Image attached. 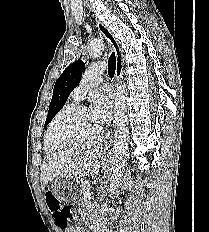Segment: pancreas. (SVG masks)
Returning <instances> with one entry per match:
<instances>
[{"label": "pancreas", "mask_w": 209, "mask_h": 232, "mask_svg": "<svg viewBox=\"0 0 209 232\" xmlns=\"http://www.w3.org/2000/svg\"><path fill=\"white\" fill-rule=\"evenodd\" d=\"M90 186H91V182L90 181L86 180V181L82 182V184H81V192L83 193V195H84V193L86 191H89Z\"/></svg>", "instance_id": "pancreas-1"}]
</instances>
